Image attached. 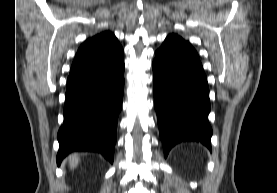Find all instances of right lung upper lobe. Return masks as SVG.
Wrapping results in <instances>:
<instances>
[{"label": "right lung upper lobe", "instance_id": "right-lung-upper-lobe-1", "mask_svg": "<svg viewBox=\"0 0 277 193\" xmlns=\"http://www.w3.org/2000/svg\"><path fill=\"white\" fill-rule=\"evenodd\" d=\"M122 47L117 38L111 32H102L94 37L87 39L78 49L72 63L71 69L83 68L97 64Z\"/></svg>", "mask_w": 277, "mask_h": 193}]
</instances>
